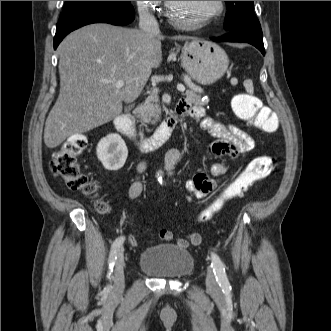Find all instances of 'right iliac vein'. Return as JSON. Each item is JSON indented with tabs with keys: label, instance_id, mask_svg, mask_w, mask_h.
<instances>
[{
	"label": "right iliac vein",
	"instance_id": "right-iliac-vein-1",
	"mask_svg": "<svg viewBox=\"0 0 331 331\" xmlns=\"http://www.w3.org/2000/svg\"><path fill=\"white\" fill-rule=\"evenodd\" d=\"M124 250L118 253L114 272V289L116 293H121L124 289Z\"/></svg>",
	"mask_w": 331,
	"mask_h": 331
}]
</instances>
